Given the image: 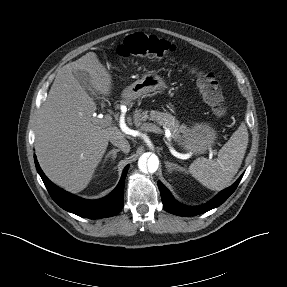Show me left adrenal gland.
Masks as SVG:
<instances>
[{
  "label": "left adrenal gland",
  "mask_w": 287,
  "mask_h": 287,
  "mask_svg": "<svg viewBox=\"0 0 287 287\" xmlns=\"http://www.w3.org/2000/svg\"><path fill=\"white\" fill-rule=\"evenodd\" d=\"M165 166H166L168 172H170V173H172V171H174V170H178V171H181V172L186 171L183 167H181V166H179L177 164L168 162V161L165 162Z\"/></svg>",
  "instance_id": "1"
}]
</instances>
